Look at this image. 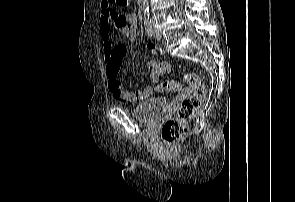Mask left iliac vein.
I'll list each match as a JSON object with an SVG mask.
<instances>
[{"mask_svg":"<svg viewBox=\"0 0 295 202\" xmlns=\"http://www.w3.org/2000/svg\"><path fill=\"white\" fill-rule=\"evenodd\" d=\"M151 26H152V29H153V32H154V35H155V38L157 39V40H161V33H160V31L159 30H157L156 28H155V25H154V23L152 22L151 23Z\"/></svg>","mask_w":295,"mask_h":202,"instance_id":"obj_1","label":"left iliac vein"}]
</instances>
